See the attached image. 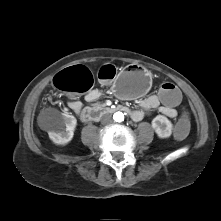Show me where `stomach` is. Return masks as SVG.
<instances>
[{
	"label": "stomach",
	"instance_id": "stomach-1",
	"mask_svg": "<svg viewBox=\"0 0 221 221\" xmlns=\"http://www.w3.org/2000/svg\"><path fill=\"white\" fill-rule=\"evenodd\" d=\"M152 82L151 74L136 65H129L120 71L113 82L114 93L125 99H133L144 95Z\"/></svg>",
	"mask_w": 221,
	"mask_h": 221
}]
</instances>
